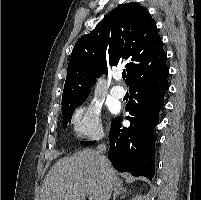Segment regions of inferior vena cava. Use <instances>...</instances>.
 <instances>
[{"label":"inferior vena cava","mask_w":201,"mask_h":200,"mask_svg":"<svg viewBox=\"0 0 201 200\" xmlns=\"http://www.w3.org/2000/svg\"><path fill=\"white\" fill-rule=\"evenodd\" d=\"M106 151V146L105 144H101L98 146V154H99V160H100V164L102 169L106 168L107 165V159L106 157L103 155V153Z\"/></svg>","instance_id":"1"}]
</instances>
